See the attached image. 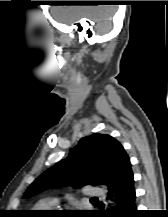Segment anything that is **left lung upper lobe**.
Here are the masks:
<instances>
[{"label": "left lung upper lobe", "instance_id": "1", "mask_svg": "<svg viewBox=\"0 0 168 217\" xmlns=\"http://www.w3.org/2000/svg\"><path fill=\"white\" fill-rule=\"evenodd\" d=\"M130 159L113 137L95 133L80 139L68 156L40 175L26 190L25 197L61 185L80 187L105 184L111 190L128 173Z\"/></svg>", "mask_w": 168, "mask_h": 217}]
</instances>
